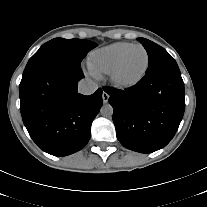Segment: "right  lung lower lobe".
Returning <instances> with one entry per match:
<instances>
[{
  "label": "right lung lower lobe",
  "instance_id": "obj_1",
  "mask_svg": "<svg viewBox=\"0 0 207 207\" xmlns=\"http://www.w3.org/2000/svg\"><path fill=\"white\" fill-rule=\"evenodd\" d=\"M84 77L80 65L46 62L24 72L19 86L20 111L37 146L58 157L81 150L102 106V89L85 96L77 92Z\"/></svg>",
  "mask_w": 207,
  "mask_h": 207
}]
</instances>
